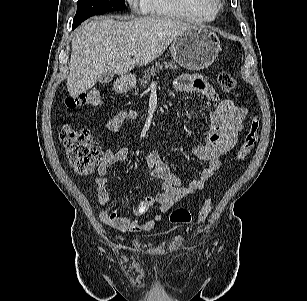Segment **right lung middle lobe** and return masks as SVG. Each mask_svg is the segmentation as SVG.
Masks as SVG:
<instances>
[{"mask_svg":"<svg viewBox=\"0 0 307 301\" xmlns=\"http://www.w3.org/2000/svg\"><path fill=\"white\" fill-rule=\"evenodd\" d=\"M125 0H78L73 25H79L93 15L124 9Z\"/></svg>","mask_w":307,"mask_h":301,"instance_id":"1","label":"right lung middle lobe"}]
</instances>
